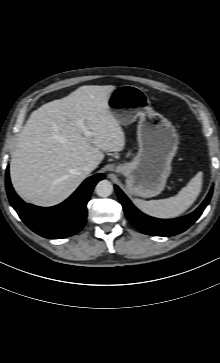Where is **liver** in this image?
Wrapping results in <instances>:
<instances>
[{
  "mask_svg": "<svg viewBox=\"0 0 220 363\" xmlns=\"http://www.w3.org/2000/svg\"><path fill=\"white\" fill-rule=\"evenodd\" d=\"M113 85L81 86L68 96L33 111L19 134L10 161V177L17 194L38 206L67 199L83 182L82 167L118 152L125 135L108 108ZM93 133L87 137L77 120Z\"/></svg>",
  "mask_w": 220,
  "mask_h": 363,
  "instance_id": "6515ba94",
  "label": "liver"
}]
</instances>
